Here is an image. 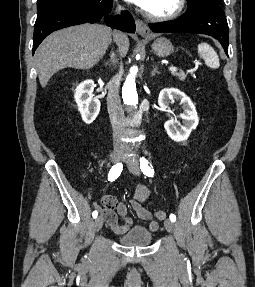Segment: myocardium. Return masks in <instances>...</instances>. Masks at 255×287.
<instances>
[{"label": "myocardium", "mask_w": 255, "mask_h": 287, "mask_svg": "<svg viewBox=\"0 0 255 287\" xmlns=\"http://www.w3.org/2000/svg\"><path fill=\"white\" fill-rule=\"evenodd\" d=\"M145 33H150V32H145ZM164 33H173V32H164ZM138 39H151V38H138ZM160 39H173V38H160ZM147 48H152V47H147ZM169 48H173V47H169Z\"/></svg>", "instance_id": "myocardium-1"}]
</instances>
